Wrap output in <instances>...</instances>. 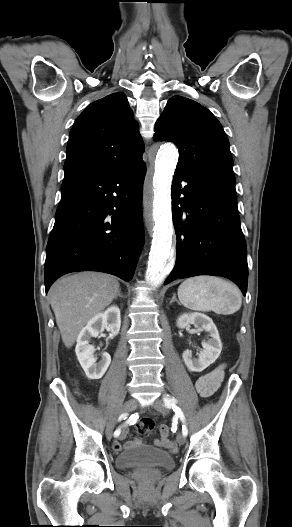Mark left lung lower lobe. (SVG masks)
<instances>
[{
  "mask_svg": "<svg viewBox=\"0 0 292 527\" xmlns=\"http://www.w3.org/2000/svg\"><path fill=\"white\" fill-rule=\"evenodd\" d=\"M172 218L177 234L176 264L164 284L176 278L215 275L232 280L245 294L247 251L235 186L175 172Z\"/></svg>",
  "mask_w": 292,
  "mask_h": 527,
  "instance_id": "1",
  "label": "left lung lower lobe"
}]
</instances>
